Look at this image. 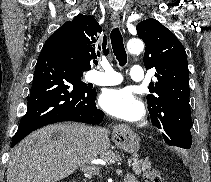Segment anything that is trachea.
Here are the masks:
<instances>
[{
  "instance_id": "trachea-1",
  "label": "trachea",
  "mask_w": 211,
  "mask_h": 182,
  "mask_svg": "<svg viewBox=\"0 0 211 182\" xmlns=\"http://www.w3.org/2000/svg\"><path fill=\"white\" fill-rule=\"evenodd\" d=\"M111 44L113 53L119 62L120 66H124L127 63V54L123 43L122 35L119 28H114L111 31Z\"/></svg>"
}]
</instances>
